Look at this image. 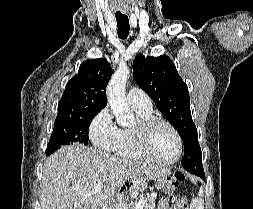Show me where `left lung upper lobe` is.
Segmentation results:
<instances>
[{
	"label": "left lung upper lobe",
	"mask_w": 253,
	"mask_h": 209,
	"mask_svg": "<svg viewBox=\"0 0 253 209\" xmlns=\"http://www.w3.org/2000/svg\"><path fill=\"white\" fill-rule=\"evenodd\" d=\"M133 73L139 87L150 96L182 138V167L189 172L195 170L202 165L201 148L191 116L188 87L173 61L167 55L145 57L139 54L133 62Z\"/></svg>",
	"instance_id": "5c2ea615"
}]
</instances>
